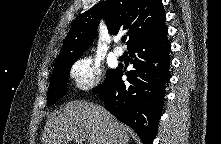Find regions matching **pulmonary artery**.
<instances>
[{"label": "pulmonary artery", "instance_id": "1", "mask_svg": "<svg viewBox=\"0 0 221 144\" xmlns=\"http://www.w3.org/2000/svg\"><path fill=\"white\" fill-rule=\"evenodd\" d=\"M115 41L118 42L119 39H116ZM113 53L115 56L120 57L123 55V49L120 46H116L113 49Z\"/></svg>", "mask_w": 221, "mask_h": 144}]
</instances>
